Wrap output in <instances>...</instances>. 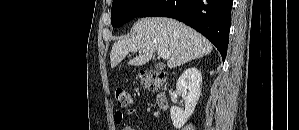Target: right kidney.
Wrapping results in <instances>:
<instances>
[{
	"instance_id": "1",
	"label": "right kidney",
	"mask_w": 299,
	"mask_h": 130,
	"mask_svg": "<svg viewBox=\"0 0 299 130\" xmlns=\"http://www.w3.org/2000/svg\"><path fill=\"white\" fill-rule=\"evenodd\" d=\"M202 75L196 67L186 69L179 77L176 90L185 101V110L172 106L170 116L175 128L180 129L193 114L201 94Z\"/></svg>"
}]
</instances>
